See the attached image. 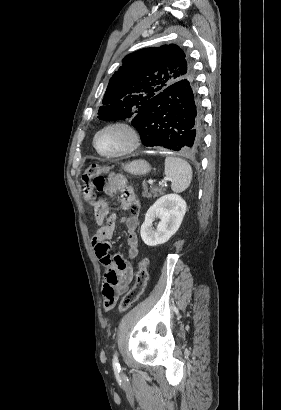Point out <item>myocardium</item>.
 <instances>
[{"label": "myocardium", "instance_id": "1", "mask_svg": "<svg viewBox=\"0 0 281 410\" xmlns=\"http://www.w3.org/2000/svg\"><path fill=\"white\" fill-rule=\"evenodd\" d=\"M112 129H119L124 131L127 136H128V145L125 149H123L122 151H119L117 153H112V154H108V153H104L102 152L97 145V138L98 136L107 130H112ZM93 147L95 149V151L102 157L104 158H108V159H114V158H120V157H124L126 155H129L131 153H133L134 151H136L141 144V134L139 132V130L132 125L129 122L126 121H114V122H110L108 124L103 125L102 127H100L94 134L93 136Z\"/></svg>", "mask_w": 281, "mask_h": 410}]
</instances>
